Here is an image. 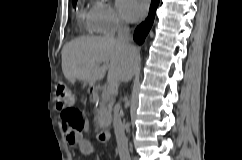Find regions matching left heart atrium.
Instances as JSON below:
<instances>
[{
  "label": "left heart atrium",
  "mask_w": 242,
  "mask_h": 160,
  "mask_svg": "<svg viewBox=\"0 0 242 160\" xmlns=\"http://www.w3.org/2000/svg\"><path fill=\"white\" fill-rule=\"evenodd\" d=\"M117 8L125 20L135 22L146 14L148 0H117Z\"/></svg>",
  "instance_id": "39dd6f15"
}]
</instances>
